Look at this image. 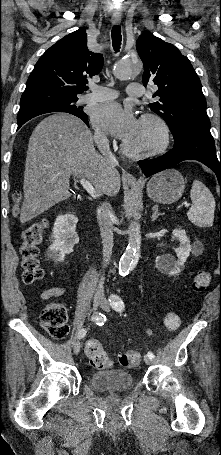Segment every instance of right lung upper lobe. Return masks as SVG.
I'll use <instances>...</instances> for the list:
<instances>
[{
  "mask_svg": "<svg viewBox=\"0 0 221 455\" xmlns=\"http://www.w3.org/2000/svg\"><path fill=\"white\" fill-rule=\"evenodd\" d=\"M85 29L63 37L38 60L20 100V109L44 106L77 98L83 92L87 76L98 74L103 55L87 48Z\"/></svg>",
  "mask_w": 221,
  "mask_h": 455,
  "instance_id": "1",
  "label": "right lung upper lobe"
}]
</instances>
